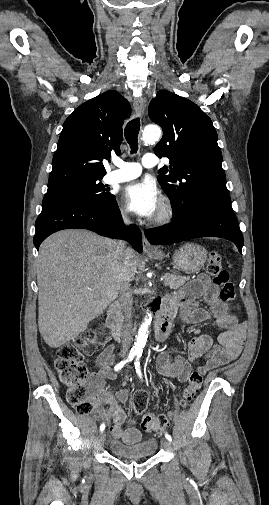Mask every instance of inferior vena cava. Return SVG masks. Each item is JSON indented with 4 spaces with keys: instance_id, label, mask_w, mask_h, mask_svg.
I'll list each match as a JSON object with an SVG mask.
<instances>
[{
    "instance_id": "inferior-vena-cava-1",
    "label": "inferior vena cava",
    "mask_w": 269,
    "mask_h": 505,
    "mask_svg": "<svg viewBox=\"0 0 269 505\" xmlns=\"http://www.w3.org/2000/svg\"><path fill=\"white\" fill-rule=\"evenodd\" d=\"M127 251L126 243L124 241H119L116 246V254L119 259H123ZM121 301L125 316V324L123 326L122 332V350L128 351L132 340H133V322H132V305H133V294L130 290V284L124 282L121 286Z\"/></svg>"
}]
</instances>
